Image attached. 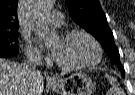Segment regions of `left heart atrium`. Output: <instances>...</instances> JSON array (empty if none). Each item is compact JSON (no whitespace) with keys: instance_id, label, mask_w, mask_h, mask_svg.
<instances>
[{"instance_id":"left-heart-atrium-1","label":"left heart atrium","mask_w":135,"mask_h":95,"mask_svg":"<svg viewBox=\"0 0 135 95\" xmlns=\"http://www.w3.org/2000/svg\"><path fill=\"white\" fill-rule=\"evenodd\" d=\"M50 51H51V55L54 58H57L58 53H59V48L56 45H54V46H52V48L50 49Z\"/></svg>"}]
</instances>
